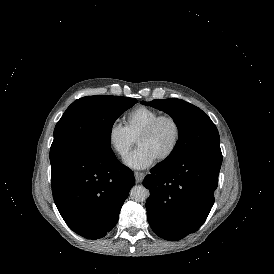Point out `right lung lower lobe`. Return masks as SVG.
<instances>
[{
    "label": "right lung lower lobe",
    "instance_id": "obj_1",
    "mask_svg": "<svg viewBox=\"0 0 274 274\" xmlns=\"http://www.w3.org/2000/svg\"><path fill=\"white\" fill-rule=\"evenodd\" d=\"M51 166L53 198L67 225L88 239L111 231L135 184L133 172L113 151L67 155Z\"/></svg>",
    "mask_w": 274,
    "mask_h": 274
}]
</instances>
